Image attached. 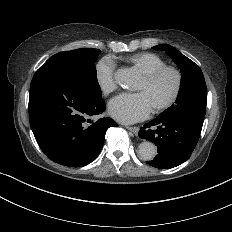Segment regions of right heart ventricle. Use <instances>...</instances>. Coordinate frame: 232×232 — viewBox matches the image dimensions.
Masks as SVG:
<instances>
[{
    "mask_svg": "<svg viewBox=\"0 0 232 232\" xmlns=\"http://www.w3.org/2000/svg\"><path fill=\"white\" fill-rule=\"evenodd\" d=\"M131 61L141 69L143 75L166 65V61L160 55L153 52L135 54L131 58Z\"/></svg>",
    "mask_w": 232,
    "mask_h": 232,
    "instance_id": "1",
    "label": "right heart ventricle"
}]
</instances>
